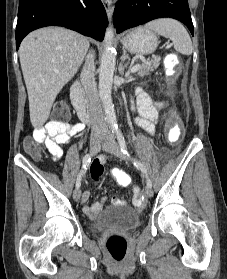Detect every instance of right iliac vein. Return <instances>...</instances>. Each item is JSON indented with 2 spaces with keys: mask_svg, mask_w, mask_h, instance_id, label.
Here are the masks:
<instances>
[{
  "mask_svg": "<svg viewBox=\"0 0 227 279\" xmlns=\"http://www.w3.org/2000/svg\"><path fill=\"white\" fill-rule=\"evenodd\" d=\"M100 144H101L100 140H92V141H90L89 149H90V154L91 155H95L98 152V150L100 148ZM80 196H81L80 190L79 189L74 190V192H73V199L75 201H78L80 199Z\"/></svg>",
  "mask_w": 227,
  "mask_h": 279,
  "instance_id": "right-iliac-vein-1",
  "label": "right iliac vein"
}]
</instances>
